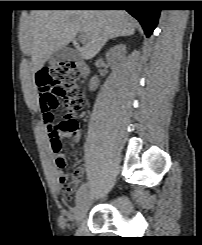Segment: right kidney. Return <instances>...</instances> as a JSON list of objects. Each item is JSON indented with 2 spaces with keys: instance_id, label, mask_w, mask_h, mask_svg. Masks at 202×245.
<instances>
[{
  "instance_id": "1",
  "label": "right kidney",
  "mask_w": 202,
  "mask_h": 245,
  "mask_svg": "<svg viewBox=\"0 0 202 245\" xmlns=\"http://www.w3.org/2000/svg\"><path fill=\"white\" fill-rule=\"evenodd\" d=\"M126 54V46L124 44H118L112 47L106 53V59L112 67H116L120 64ZM99 85V79L94 76L90 80L89 88L91 91L96 90Z\"/></svg>"
}]
</instances>
